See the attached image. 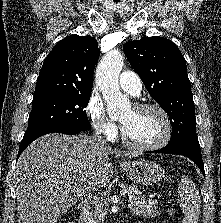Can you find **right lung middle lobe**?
<instances>
[{
	"label": "right lung middle lobe",
	"mask_w": 221,
	"mask_h": 223,
	"mask_svg": "<svg viewBox=\"0 0 221 223\" xmlns=\"http://www.w3.org/2000/svg\"><path fill=\"white\" fill-rule=\"evenodd\" d=\"M90 94L54 95L33 100L26 133L52 126L89 130L91 125L84 108Z\"/></svg>",
	"instance_id": "right-lung-middle-lobe-1"
}]
</instances>
